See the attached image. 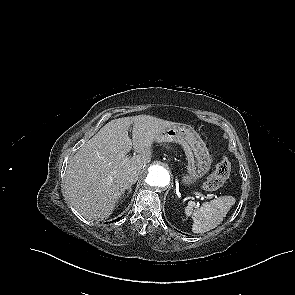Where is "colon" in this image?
<instances>
[{
	"mask_svg": "<svg viewBox=\"0 0 295 295\" xmlns=\"http://www.w3.org/2000/svg\"><path fill=\"white\" fill-rule=\"evenodd\" d=\"M231 172L230 161L224 157L216 165L214 172L204 182L203 188L206 191H214L220 188L228 179Z\"/></svg>",
	"mask_w": 295,
	"mask_h": 295,
	"instance_id": "5ec220e1",
	"label": "colon"
}]
</instances>
